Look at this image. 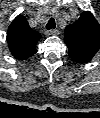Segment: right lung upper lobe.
<instances>
[{
  "mask_svg": "<svg viewBox=\"0 0 100 118\" xmlns=\"http://www.w3.org/2000/svg\"><path fill=\"white\" fill-rule=\"evenodd\" d=\"M40 38V34L30 28L22 15L14 19L7 33L9 49L19 60L27 59L36 53V44Z\"/></svg>",
  "mask_w": 100,
  "mask_h": 118,
  "instance_id": "right-lung-upper-lobe-1",
  "label": "right lung upper lobe"
}]
</instances>
